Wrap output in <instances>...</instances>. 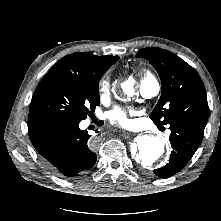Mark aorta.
Here are the masks:
<instances>
[{
	"instance_id": "762f6f07",
	"label": "aorta",
	"mask_w": 221,
	"mask_h": 221,
	"mask_svg": "<svg viewBox=\"0 0 221 221\" xmlns=\"http://www.w3.org/2000/svg\"><path fill=\"white\" fill-rule=\"evenodd\" d=\"M132 81H126L121 84L125 94L132 96L134 94ZM165 141L158 136H141L136 141V151L134 159L142 167H152L165 154Z\"/></svg>"
}]
</instances>
